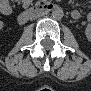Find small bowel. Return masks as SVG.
Segmentation results:
<instances>
[{"mask_svg": "<svg viewBox=\"0 0 91 91\" xmlns=\"http://www.w3.org/2000/svg\"><path fill=\"white\" fill-rule=\"evenodd\" d=\"M1 10L7 13L10 10L9 4L6 1L1 3Z\"/></svg>", "mask_w": 91, "mask_h": 91, "instance_id": "1", "label": "small bowel"}]
</instances>
